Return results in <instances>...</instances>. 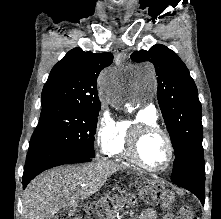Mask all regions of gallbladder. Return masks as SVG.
Segmentation results:
<instances>
[{
    "instance_id": "1",
    "label": "gallbladder",
    "mask_w": 221,
    "mask_h": 219,
    "mask_svg": "<svg viewBox=\"0 0 221 219\" xmlns=\"http://www.w3.org/2000/svg\"><path fill=\"white\" fill-rule=\"evenodd\" d=\"M50 219H56V217H52V218H50Z\"/></svg>"
}]
</instances>
